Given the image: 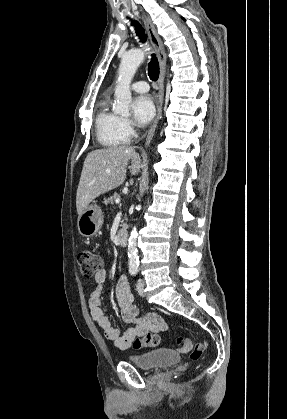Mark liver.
Returning a JSON list of instances; mask_svg holds the SVG:
<instances>
[{
	"instance_id": "obj_1",
	"label": "liver",
	"mask_w": 287,
	"mask_h": 419,
	"mask_svg": "<svg viewBox=\"0 0 287 419\" xmlns=\"http://www.w3.org/2000/svg\"><path fill=\"white\" fill-rule=\"evenodd\" d=\"M130 160V173L136 175L142 164L139 154L132 147L114 146L88 153L76 194L79 216L95 198L123 184Z\"/></svg>"
}]
</instances>
